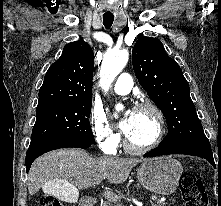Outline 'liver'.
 <instances>
[{
	"mask_svg": "<svg viewBox=\"0 0 221 206\" xmlns=\"http://www.w3.org/2000/svg\"><path fill=\"white\" fill-rule=\"evenodd\" d=\"M143 159L115 157L93 158L84 150L63 149L44 154L35 160L28 175V191L34 195L40 188L52 193V183L65 184L68 201H75L78 189H87L107 179L110 183H123L130 171Z\"/></svg>",
	"mask_w": 221,
	"mask_h": 206,
	"instance_id": "liver-1",
	"label": "liver"
}]
</instances>
